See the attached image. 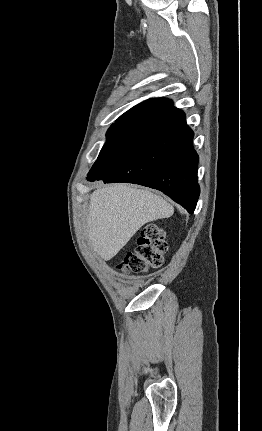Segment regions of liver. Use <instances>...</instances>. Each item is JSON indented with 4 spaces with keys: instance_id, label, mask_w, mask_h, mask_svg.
<instances>
[{
    "instance_id": "obj_1",
    "label": "liver",
    "mask_w": 262,
    "mask_h": 431,
    "mask_svg": "<svg viewBox=\"0 0 262 431\" xmlns=\"http://www.w3.org/2000/svg\"><path fill=\"white\" fill-rule=\"evenodd\" d=\"M174 208L147 189L108 185L90 195L87 233L91 247L110 260L146 223L169 218Z\"/></svg>"
}]
</instances>
